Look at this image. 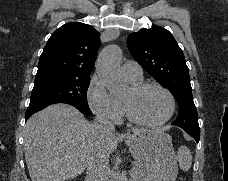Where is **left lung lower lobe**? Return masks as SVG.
I'll list each match as a JSON object with an SVG mask.
<instances>
[{
	"instance_id": "1",
	"label": "left lung lower lobe",
	"mask_w": 228,
	"mask_h": 181,
	"mask_svg": "<svg viewBox=\"0 0 228 181\" xmlns=\"http://www.w3.org/2000/svg\"><path fill=\"white\" fill-rule=\"evenodd\" d=\"M185 131L191 135L195 140L196 142L198 143L199 142V139H200V129H196V128H187L185 129Z\"/></svg>"
}]
</instances>
